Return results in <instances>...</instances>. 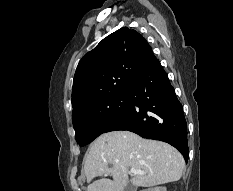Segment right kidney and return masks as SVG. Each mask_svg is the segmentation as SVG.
Returning <instances> with one entry per match:
<instances>
[{
  "label": "right kidney",
  "mask_w": 233,
  "mask_h": 191,
  "mask_svg": "<svg viewBox=\"0 0 233 191\" xmlns=\"http://www.w3.org/2000/svg\"><path fill=\"white\" fill-rule=\"evenodd\" d=\"M148 191H166V188L165 187H156V188L148 190Z\"/></svg>",
  "instance_id": "right-kidney-1"
}]
</instances>
